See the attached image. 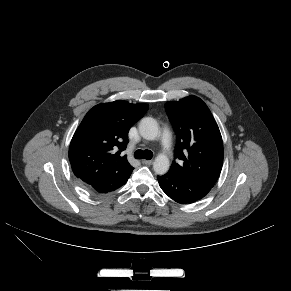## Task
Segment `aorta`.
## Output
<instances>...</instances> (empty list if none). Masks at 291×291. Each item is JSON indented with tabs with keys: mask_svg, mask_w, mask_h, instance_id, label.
Instances as JSON below:
<instances>
[{
	"mask_svg": "<svg viewBox=\"0 0 291 291\" xmlns=\"http://www.w3.org/2000/svg\"><path fill=\"white\" fill-rule=\"evenodd\" d=\"M140 135L146 140H155L159 136L157 121L152 117H145L139 123ZM170 167L169 159L165 154H159L154 160L153 169L158 175L168 172Z\"/></svg>",
	"mask_w": 291,
	"mask_h": 291,
	"instance_id": "aorta-1",
	"label": "aorta"
}]
</instances>
